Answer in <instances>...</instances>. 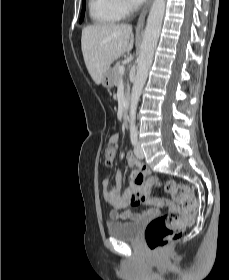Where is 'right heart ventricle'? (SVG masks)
Wrapping results in <instances>:
<instances>
[{
  "label": "right heart ventricle",
  "instance_id": "right-heart-ventricle-1",
  "mask_svg": "<svg viewBox=\"0 0 229 280\" xmlns=\"http://www.w3.org/2000/svg\"><path fill=\"white\" fill-rule=\"evenodd\" d=\"M89 14L99 26L113 25L122 18L114 0H89Z\"/></svg>",
  "mask_w": 229,
  "mask_h": 280
}]
</instances>
